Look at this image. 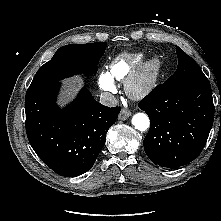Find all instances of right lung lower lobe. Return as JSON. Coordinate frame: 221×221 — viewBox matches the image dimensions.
Instances as JSON below:
<instances>
[{
  "mask_svg": "<svg viewBox=\"0 0 221 221\" xmlns=\"http://www.w3.org/2000/svg\"><path fill=\"white\" fill-rule=\"evenodd\" d=\"M61 83L29 88L25 97L26 133L41 160L54 172L75 177L94 164L120 107H107L82 89L64 109L56 104Z\"/></svg>",
  "mask_w": 221,
  "mask_h": 221,
  "instance_id": "obj_1",
  "label": "right lung lower lobe"
}]
</instances>
